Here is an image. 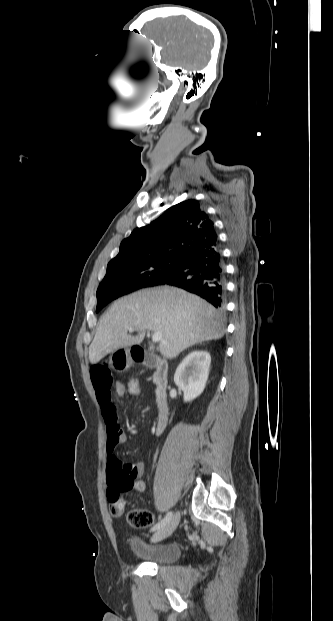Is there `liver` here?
Here are the masks:
<instances>
[{"label":"liver","mask_w":333,"mask_h":621,"mask_svg":"<svg viewBox=\"0 0 333 621\" xmlns=\"http://www.w3.org/2000/svg\"><path fill=\"white\" fill-rule=\"evenodd\" d=\"M223 322L213 306L181 289H144L117 300L103 314L89 347V360L96 364L115 350L140 344L146 330L162 333L160 353L172 359L192 345L222 338ZM129 328L138 335H129Z\"/></svg>","instance_id":"1"}]
</instances>
